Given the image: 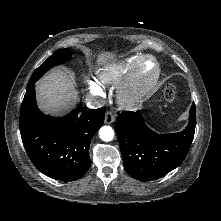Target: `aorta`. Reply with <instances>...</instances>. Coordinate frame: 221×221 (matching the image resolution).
<instances>
[{
    "label": "aorta",
    "instance_id": "obj_1",
    "mask_svg": "<svg viewBox=\"0 0 221 221\" xmlns=\"http://www.w3.org/2000/svg\"><path fill=\"white\" fill-rule=\"evenodd\" d=\"M99 136L101 140L109 142L114 138V131L110 126H103L99 130Z\"/></svg>",
    "mask_w": 221,
    "mask_h": 221
}]
</instances>
